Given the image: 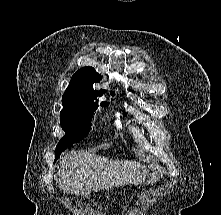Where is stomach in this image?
Masks as SVG:
<instances>
[{"label":"stomach","mask_w":221,"mask_h":215,"mask_svg":"<svg viewBox=\"0 0 221 215\" xmlns=\"http://www.w3.org/2000/svg\"><path fill=\"white\" fill-rule=\"evenodd\" d=\"M156 175H157V171L153 170V172L151 174L152 178L156 177Z\"/></svg>","instance_id":"stomach-1"}]
</instances>
